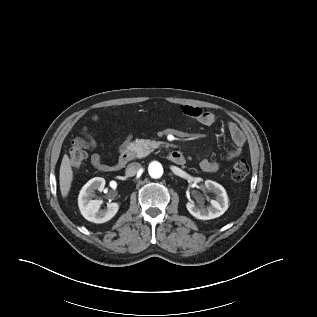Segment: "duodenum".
Masks as SVG:
<instances>
[{"mask_svg": "<svg viewBox=\"0 0 317 317\" xmlns=\"http://www.w3.org/2000/svg\"><path fill=\"white\" fill-rule=\"evenodd\" d=\"M134 158V154L130 150H125L120 155L118 161L114 165H110L107 171H115L124 168L130 161ZM168 159L177 165H182L185 163V157L180 151H172L168 154Z\"/></svg>", "mask_w": 317, "mask_h": 317, "instance_id": "410a0bca", "label": "duodenum"}]
</instances>
